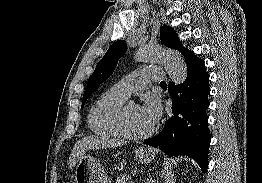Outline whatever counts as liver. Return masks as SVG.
Returning <instances> with one entry per match:
<instances>
[{"label": "liver", "instance_id": "1", "mask_svg": "<svg viewBox=\"0 0 262 183\" xmlns=\"http://www.w3.org/2000/svg\"><path fill=\"white\" fill-rule=\"evenodd\" d=\"M126 142L108 136H87L79 139L70 154L68 166L72 169L80 159L85 156V153L90 149L110 148L123 146Z\"/></svg>", "mask_w": 262, "mask_h": 183}]
</instances>
